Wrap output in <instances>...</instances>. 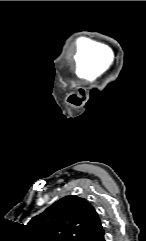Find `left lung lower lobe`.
I'll return each mask as SVG.
<instances>
[{
	"instance_id": "0a47b994",
	"label": "left lung lower lobe",
	"mask_w": 146,
	"mask_h": 241,
	"mask_svg": "<svg viewBox=\"0 0 146 241\" xmlns=\"http://www.w3.org/2000/svg\"><path fill=\"white\" fill-rule=\"evenodd\" d=\"M81 241H105L104 230L100 225L94 232L85 236Z\"/></svg>"
}]
</instances>
